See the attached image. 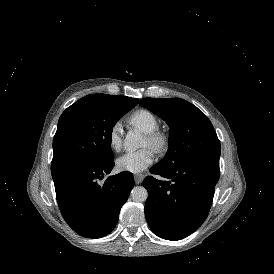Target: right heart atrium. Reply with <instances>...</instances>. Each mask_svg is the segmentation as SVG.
I'll return each mask as SVG.
<instances>
[{"instance_id":"obj_1","label":"right heart atrium","mask_w":274,"mask_h":274,"mask_svg":"<svg viewBox=\"0 0 274 274\" xmlns=\"http://www.w3.org/2000/svg\"><path fill=\"white\" fill-rule=\"evenodd\" d=\"M108 144L113 151H119L122 147L120 124H113L108 131Z\"/></svg>"}]
</instances>
